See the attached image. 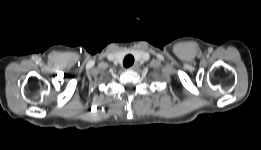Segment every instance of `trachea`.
Masks as SVG:
<instances>
[{
  "instance_id": "3493384b",
  "label": "trachea",
  "mask_w": 261,
  "mask_h": 150,
  "mask_svg": "<svg viewBox=\"0 0 261 150\" xmlns=\"http://www.w3.org/2000/svg\"><path fill=\"white\" fill-rule=\"evenodd\" d=\"M134 63V57L132 55L125 56L123 60L124 67H130Z\"/></svg>"
}]
</instances>
